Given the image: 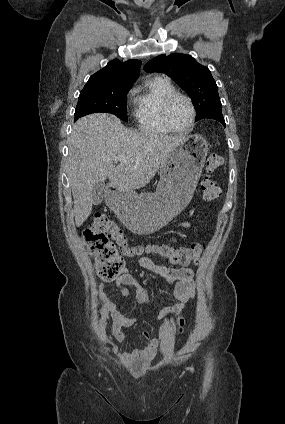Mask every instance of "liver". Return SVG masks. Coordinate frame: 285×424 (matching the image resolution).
<instances>
[{"label": "liver", "instance_id": "liver-1", "mask_svg": "<svg viewBox=\"0 0 285 424\" xmlns=\"http://www.w3.org/2000/svg\"><path fill=\"white\" fill-rule=\"evenodd\" d=\"M185 139L183 135L127 129L111 114L94 113L80 118L72 128L67 158L76 226H81L92 212V189L96 183L108 178L110 186L118 191L140 189ZM119 155L126 162L120 161L115 166Z\"/></svg>", "mask_w": 285, "mask_h": 424}]
</instances>
